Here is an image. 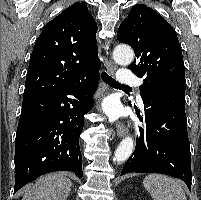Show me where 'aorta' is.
Wrapping results in <instances>:
<instances>
[{
    "label": "aorta",
    "mask_w": 201,
    "mask_h": 200,
    "mask_svg": "<svg viewBox=\"0 0 201 200\" xmlns=\"http://www.w3.org/2000/svg\"><path fill=\"white\" fill-rule=\"evenodd\" d=\"M114 60L120 65H129L134 59L133 50L125 45H118L113 52ZM134 149V140L131 136L125 137L118 145L114 160L117 163H122L127 160Z\"/></svg>",
    "instance_id": "aorta-1"
}]
</instances>
